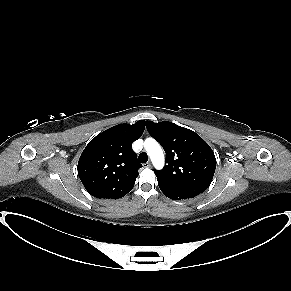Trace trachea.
<instances>
[{
  "label": "trachea",
  "instance_id": "1",
  "mask_svg": "<svg viewBox=\"0 0 291 291\" xmlns=\"http://www.w3.org/2000/svg\"><path fill=\"white\" fill-rule=\"evenodd\" d=\"M139 162L146 163L148 161V156L145 152H142L138 157Z\"/></svg>",
  "mask_w": 291,
  "mask_h": 291
}]
</instances>
